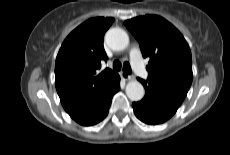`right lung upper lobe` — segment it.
<instances>
[{"label": "right lung upper lobe", "instance_id": "1", "mask_svg": "<svg viewBox=\"0 0 230 155\" xmlns=\"http://www.w3.org/2000/svg\"><path fill=\"white\" fill-rule=\"evenodd\" d=\"M114 18H91L64 40L55 64V85L67 113L77 111L104 95L117 73L109 68L100 72L107 60L103 37Z\"/></svg>", "mask_w": 230, "mask_h": 155}]
</instances>
